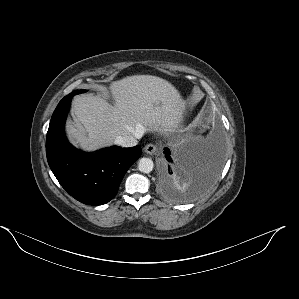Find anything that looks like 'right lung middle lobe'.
Here are the masks:
<instances>
[{
  "mask_svg": "<svg viewBox=\"0 0 299 299\" xmlns=\"http://www.w3.org/2000/svg\"><path fill=\"white\" fill-rule=\"evenodd\" d=\"M86 92V90H76V91H73L72 93H70L71 96H74L76 94H79V93H84Z\"/></svg>",
  "mask_w": 299,
  "mask_h": 299,
  "instance_id": "1",
  "label": "right lung middle lobe"
}]
</instances>
